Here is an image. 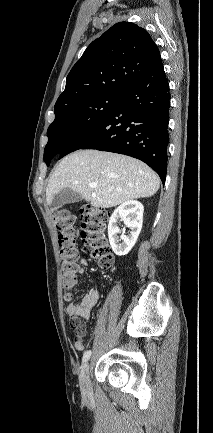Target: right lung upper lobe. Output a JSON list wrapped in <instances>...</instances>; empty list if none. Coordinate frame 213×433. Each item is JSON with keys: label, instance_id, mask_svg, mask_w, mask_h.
Instances as JSON below:
<instances>
[{"label": "right lung upper lobe", "instance_id": "obj_1", "mask_svg": "<svg viewBox=\"0 0 213 433\" xmlns=\"http://www.w3.org/2000/svg\"><path fill=\"white\" fill-rule=\"evenodd\" d=\"M159 58V49L145 29L131 22L116 23L73 66L54 110L95 95H122Z\"/></svg>", "mask_w": 213, "mask_h": 433}]
</instances>
